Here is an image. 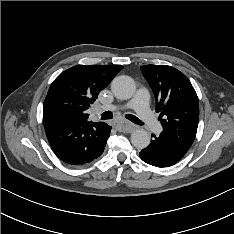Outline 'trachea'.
<instances>
[{
    "mask_svg": "<svg viewBox=\"0 0 234 234\" xmlns=\"http://www.w3.org/2000/svg\"><path fill=\"white\" fill-rule=\"evenodd\" d=\"M112 117H113V114L110 111H106L101 114V120H108V119H111ZM126 118L137 125H143V122L134 115L127 114Z\"/></svg>",
    "mask_w": 234,
    "mask_h": 234,
    "instance_id": "obj_1",
    "label": "trachea"
}]
</instances>
